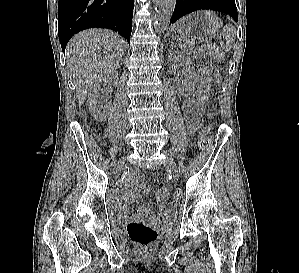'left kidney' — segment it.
<instances>
[{"instance_id":"5707ae66","label":"left kidney","mask_w":299,"mask_h":273,"mask_svg":"<svg viewBox=\"0 0 299 273\" xmlns=\"http://www.w3.org/2000/svg\"><path fill=\"white\" fill-rule=\"evenodd\" d=\"M179 65L183 66L186 81L179 85V92L183 96L190 95L198 81L199 74L194 67V63L189 57L177 50L169 51L168 55V71L174 73L177 71Z\"/></svg>"}]
</instances>
